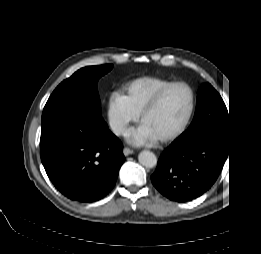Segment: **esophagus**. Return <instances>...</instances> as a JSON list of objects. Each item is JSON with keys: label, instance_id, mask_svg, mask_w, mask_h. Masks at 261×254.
I'll use <instances>...</instances> for the list:
<instances>
[{"label": "esophagus", "instance_id": "esophagus-1", "mask_svg": "<svg viewBox=\"0 0 261 254\" xmlns=\"http://www.w3.org/2000/svg\"><path fill=\"white\" fill-rule=\"evenodd\" d=\"M133 153H134V151L131 150V149H129V148H127V147H125V148L123 149V154H124L125 156L131 155V154H133Z\"/></svg>", "mask_w": 261, "mask_h": 254}]
</instances>
